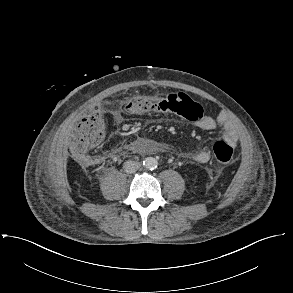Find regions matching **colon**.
I'll list each match as a JSON object with an SVG mask.
<instances>
[{
    "instance_id": "1",
    "label": "colon",
    "mask_w": 293,
    "mask_h": 293,
    "mask_svg": "<svg viewBox=\"0 0 293 293\" xmlns=\"http://www.w3.org/2000/svg\"><path fill=\"white\" fill-rule=\"evenodd\" d=\"M150 113H172L188 120H198L202 107L184 93H174L160 99L148 96H133L122 108V114L137 116ZM104 133V119L100 113H93L84 118L77 127L72 151L78 157H83L92 147L98 145ZM213 152L218 162L228 165L233 161L234 149L224 140H218L213 146Z\"/></svg>"
}]
</instances>
